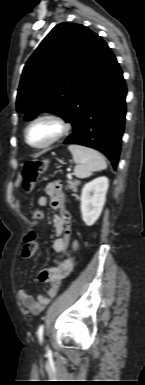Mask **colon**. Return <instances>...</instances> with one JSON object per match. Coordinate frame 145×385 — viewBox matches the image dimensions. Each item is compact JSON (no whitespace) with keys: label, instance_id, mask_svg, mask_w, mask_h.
Segmentation results:
<instances>
[{"label":"colon","instance_id":"1","mask_svg":"<svg viewBox=\"0 0 145 385\" xmlns=\"http://www.w3.org/2000/svg\"><path fill=\"white\" fill-rule=\"evenodd\" d=\"M45 163L46 161H32L25 165L22 171V188L25 192L32 190L34 183L39 179L43 171ZM33 219L36 222H40L43 219L42 212L39 210L34 211ZM37 247V234L35 230H32L24 238L22 257L25 259L31 258L36 252ZM73 247H76V243L73 244ZM68 255V252H63V256L67 257Z\"/></svg>","mask_w":145,"mask_h":385}]
</instances>
